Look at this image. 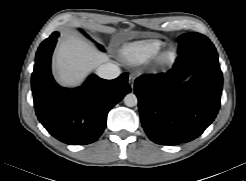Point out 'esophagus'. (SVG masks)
<instances>
[{
	"label": "esophagus",
	"mask_w": 246,
	"mask_h": 181,
	"mask_svg": "<svg viewBox=\"0 0 246 181\" xmlns=\"http://www.w3.org/2000/svg\"><path fill=\"white\" fill-rule=\"evenodd\" d=\"M134 81H135V77L133 75H130L129 78H128V82L131 86V88L133 89V86H134Z\"/></svg>",
	"instance_id": "obj_1"
}]
</instances>
